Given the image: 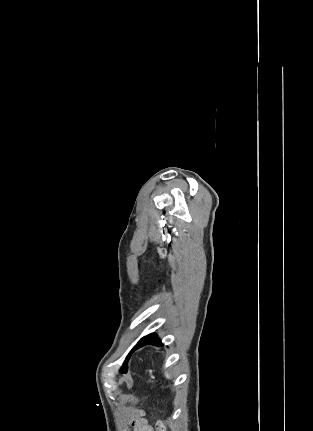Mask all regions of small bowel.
Wrapping results in <instances>:
<instances>
[{
	"label": "small bowel",
	"mask_w": 313,
	"mask_h": 431,
	"mask_svg": "<svg viewBox=\"0 0 313 431\" xmlns=\"http://www.w3.org/2000/svg\"><path fill=\"white\" fill-rule=\"evenodd\" d=\"M130 424L134 431H153V428L144 418V413L141 411L136 416L131 418Z\"/></svg>",
	"instance_id": "1"
}]
</instances>
